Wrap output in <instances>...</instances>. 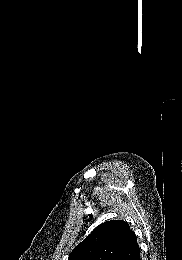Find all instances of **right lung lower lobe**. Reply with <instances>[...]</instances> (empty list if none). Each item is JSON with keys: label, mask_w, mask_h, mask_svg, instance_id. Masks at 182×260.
I'll use <instances>...</instances> for the list:
<instances>
[{"label": "right lung lower lobe", "mask_w": 182, "mask_h": 260, "mask_svg": "<svg viewBox=\"0 0 182 260\" xmlns=\"http://www.w3.org/2000/svg\"><path fill=\"white\" fill-rule=\"evenodd\" d=\"M133 260H141L140 253Z\"/></svg>", "instance_id": "98d812e1"}]
</instances>
